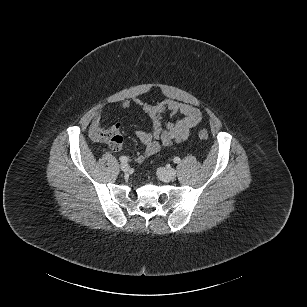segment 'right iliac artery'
I'll return each instance as SVG.
<instances>
[{"mask_svg":"<svg viewBox=\"0 0 307 307\" xmlns=\"http://www.w3.org/2000/svg\"><path fill=\"white\" fill-rule=\"evenodd\" d=\"M119 160L123 163V162H125V163H127L128 161H129V159L127 158V157H125V156H121L120 158H119Z\"/></svg>","mask_w":307,"mask_h":307,"instance_id":"obj_1","label":"right iliac artery"}]
</instances>
